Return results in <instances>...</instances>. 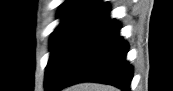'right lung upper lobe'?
Instances as JSON below:
<instances>
[{"label":"right lung upper lobe","mask_w":173,"mask_h":91,"mask_svg":"<svg viewBox=\"0 0 173 91\" xmlns=\"http://www.w3.org/2000/svg\"><path fill=\"white\" fill-rule=\"evenodd\" d=\"M98 0H66L59 9L58 17L63 23L85 24L109 9Z\"/></svg>","instance_id":"cb5924a9"}]
</instances>
